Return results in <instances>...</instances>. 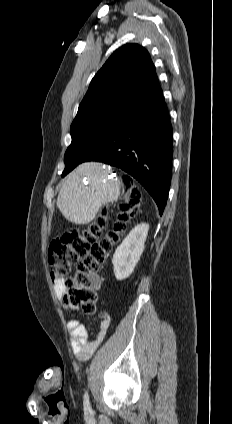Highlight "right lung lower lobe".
Listing matches in <instances>:
<instances>
[{
    "label": "right lung lower lobe",
    "instance_id": "obj_1",
    "mask_svg": "<svg viewBox=\"0 0 232 424\" xmlns=\"http://www.w3.org/2000/svg\"><path fill=\"white\" fill-rule=\"evenodd\" d=\"M128 117L83 162L99 161L126 171L149 192L162 215L173 156L172 126L162 90L133 104Z\"/></svg>",
    "mask_w": 232,
    "mask_h": 424
}]
</instances>
